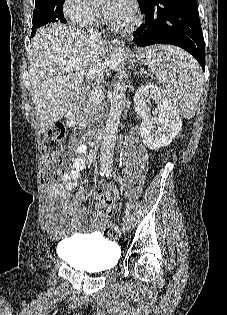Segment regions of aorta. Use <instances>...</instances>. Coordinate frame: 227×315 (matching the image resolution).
Listing matches in <instances>:
<instances>
[{"label":"aorta","instance_id":"762f6f07","mask_svg":"<svg viewBox=\"0 0 227 315\" xmlns=\"http://www.w3.org/2000/svg\"><path fill=\"white\" fill-rule=\"evenodd\" d=\"M93 3L100 2L102 0H90ZM125 83L123 81H119L116 84V93L114 97V101L110 107V113L107 119V123L105 126V132L103 136V143L101 147V160H105L106 162L112 161L116 134L118 131V124L120 120V116L122 113V108L124 105L125 99Z\"/></svg>","mask_w":227,"mask_h":315}]
</instances>
